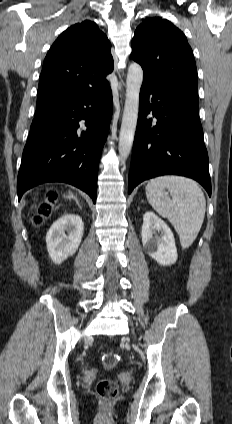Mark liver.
<instances>
[{
  "instance_id": "6515ba94",
  "label": "liver",
  "mask_w": 232,
  "mask_h": 424,
  "mask_svg": "<svg viewBox=\"0 0 232 424\" xmlns=\"http://www.w3.org/2000/svg\"><path fill=\"white\" fill-rule=\"evenodd\" d=\"M72 198H74V197H73V195H72V194H70V195H69V199H72Z\"/></svg>"
}]
</instances>
